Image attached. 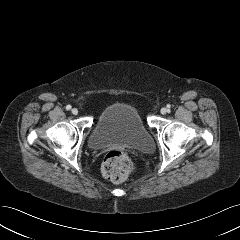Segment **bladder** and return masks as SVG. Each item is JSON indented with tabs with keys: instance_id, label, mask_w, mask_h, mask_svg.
<instances>
[{
	"instance_id": "31cf9c89",
	"label": "bladder",
	"mask_w": 240,
	"mask_h": 240,
	"mask_svg": "<svg viewBox=\"0 0 240 240\" xmlns=\"http://www.w3.org/2000/svg\"><path fill=\"white\" fill-rule=\"evenodd\" d=\"M88 143L92 149H101L110 145H121L143 151H150L153 148L151 134L138 110L126 103L112 104L100 113Z\"/></svg>"
}]
</instances>
